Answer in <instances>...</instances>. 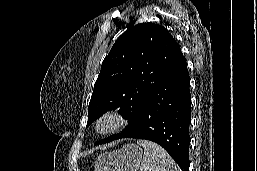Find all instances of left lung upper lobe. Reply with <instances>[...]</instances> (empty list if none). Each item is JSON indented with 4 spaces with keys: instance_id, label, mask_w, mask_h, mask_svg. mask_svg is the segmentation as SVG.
I'll list each match as a JSON object with an SVG mask.
<instances>
[{
    "instance_id": "left-lung-upper-lobe-1",
    "label": "left lung upper lobe",
    "mask_w": 257,
    "mask_h": 171,
    "mask_svg": "<svg viewBox=\"0 0 257 171\" xmlns=\"http://www.w3.org/2000/svg\"><path fill=\"white\" fill-rule=\"evenodd\" d=\"M179 52L173 36L156 24L141 23L124 32L102 62L88 106L87 126L103 113L119 108L128 119V128Z\"/></svg>"
}]
</instances>
